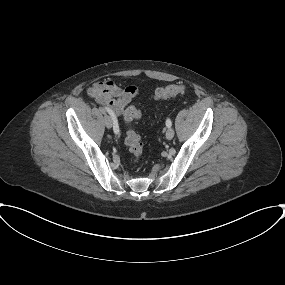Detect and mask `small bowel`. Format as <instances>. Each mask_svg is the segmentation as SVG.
Returning <instances> with one entry per match:
<instances>
[{"mask_svg": "<svg viewBox=\"0 0 285 285\" xmlns=\"http://www.w3.org/2000/svg\"><path fill=\"white\" fill-rule=\"evenodd\" d=\"M87 92L98 104L117 117L122 114L131 100L137 96L138 88L134 85L121 87L108 79L95 82L88 88Z\"/></svg>", "mask_w": 285, "mask_h": 285, "instance_id": "1", "label": "small bowel"}]
</instances>
